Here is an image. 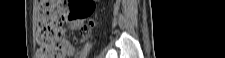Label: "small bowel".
<instances>
[{
	"instance_id": "small-bowel-1",
	"label": "small bowel",
	"mask_w": 225,
	"mask_h": 58,
	"mask_svg": "<svg viewBox=\"0 0 225 58\" xmlns=\"http://www.w3.org/2000/svg\"><path fill=\"white\" fill-rule=\"evenodd\" d=\"M81 25V20H74V21H69V26L71 29L76 30L79 26ZM63 46L65 49V57H69L73 54L74 48L70 42L67 40L63 41Z\"/></svg>"
}]
</instances>
